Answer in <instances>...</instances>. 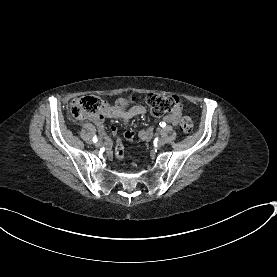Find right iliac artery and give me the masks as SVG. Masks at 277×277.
Instances as JSON below:
<instances>
[{"instance_id": "82829eb1", "label": "right iliac artery", "mask_w": 277, "mask_h": 277, "mask_svg": "<svg viewBox=\"0 0 277 277\" xmlns=\"http://www.w3.org/2000/svg\"><path fill=\"white\" fill-rule=\"evenodd\" d=\"M97 140H98V139H97V137H96V136H94V137H93V142H94V143H96V142H97Z\"/></svg>"}]
</instances>
